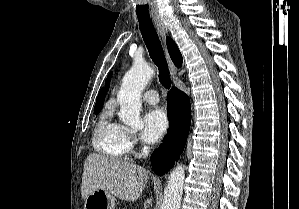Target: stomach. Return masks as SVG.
Wrapping results in <instances>:
<instances>
[{
  "label": "stomach",
  "instance_id": "1",
  "mask_svg": "<svg viewBox=\"0 0 299 209\" xmlns=\"http://www.w3.org/2000/svg\"><path fill=\"white\" fill-rule=\"evenodd\" d=\"M85 209H115V197L108 191L98 189L85 200Z\"/></svg>",
  "mask_w": 299,
  "mask_h": 209
}]
</instances>
